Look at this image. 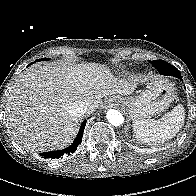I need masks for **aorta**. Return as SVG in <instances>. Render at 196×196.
I'll list each match as a JSON object with an SVG mask.
<instances>
[{
  "label": "aorta",
  "mask_w": 196,
  "mask_h": 196,
  "mask_svg": "<svg viewBox=\"0 0 196 196\" xmlns=\"http://www.w3.org/2000/svg\"><path fill=\"white\" fill-rule=\"evenodd\" d=\"M106 117L108 122L113 126H120L124 123V117L118 110L109 109Z\"/></svg>",
  "instance_id": "aorta-1"
}]
</instances>
